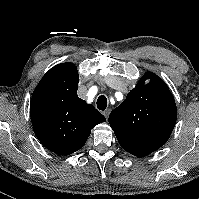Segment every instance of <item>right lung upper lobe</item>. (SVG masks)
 Instances as JSON below:
<instances>
[{"instance_id": "cb5924a9", "label": "right lung upper lobe", "mask_w": 199, "mask_h": 199, "mask_svg": "<svg viewBox=\"0 0 199 199\" xmlns=\"http://www.w3.org/2000/svg\"><path fill=\"white\" fill-rule=\"evenodd\" d=\"M79 75L73 63L51 68L35 88L30 114L33 130L48 150L69 155L87 141L91 129L105 117L77 95Z\"/></svg>"}]
</instances>
